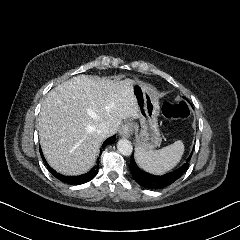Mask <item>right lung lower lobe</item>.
<instances>
[{
    "mask_svg": "<svg viewBox=\"0 0 240 240\" xmlns=\"http://www.w3.org/2000/svg\"><path fill=\"white\" fill-rule=\"evenodd\" d=\"M116 139V136H112L110 138H108L102 145V149L105 148L107 145L112 144ZM102 152V150H101ZM40 154L42 156V159L44 160V162L46 163L49 171L52 173L53 176H55L58 180L67 183V184H74V185H78V184H83L86 183L90 180H92L98 171V167H99V161H97V165L94 166L89 172H87L86 174L80 175V176H64L60 173H57L54 169H52L48 163L46 162L42 150L40 148Z\"/></svg>",
    "mask_w": 240,
    "mask_h": 240,
    "instance_id": "obj_1",
    "label": "right lung lower lobe"
}]
</instances>
